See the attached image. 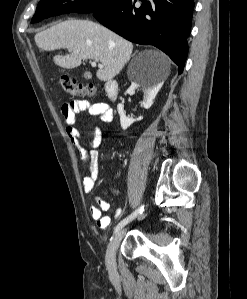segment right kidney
<instances>
[{
  "label": "right kidney",
  "instance_id": "ca27d5eb",
  "mask_svg": "<svg viewBox=\"0 0 247 299\" xmlns=\"http://www.w3.org/2000/svg\"><path fill=\"white\" fill-rule=\"evenodd\" d=\"M161 86H162V83L148 86V85L139 84L138 82L133 81L131 83V86L128 88L127 93L129 95H133V94H135V91L141 87V89L144 93L142 105L145 109H149L152 106L154 99H155L157 93L159 92ZM117 110H118V114L120 116V124H121V127L123 130H126L133 122L140 121L143 119L142 116H139L137 119H132V118L127 117L124 112L123 104H118Z\"/></svg>",
  "mask_w": 247,
  "mask_h": 299
}]
</instances>
